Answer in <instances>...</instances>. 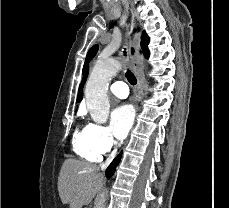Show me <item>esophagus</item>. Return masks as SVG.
Segmentation results:
<instances>
[{"instance_id":"34e87169","label":"esophagus","mask_w":229,"mask_h":208,"mask_svg":"<svg viewBox=\"0 0 229 208\" xmlns=\"http://www.w3.org/2000/svg\"><path fill=\"white\" fill-rule=\"evenodd\" d=\"M139 50H140V33L135 32L129 44V58H130V64L131 67L133 68L135 77H137L139 82L137 96L139 101L142 102V100L144 99V92L142 89V81H141L142 62L139 57Z\"/></svg>"}]
</instances>
